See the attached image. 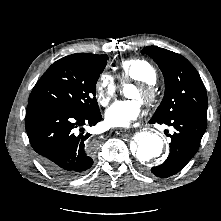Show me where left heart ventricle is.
<instances>
[{
  "instance_id": "b2bd125f",
  "label": "left heart ventricle",
  "mask_w": 221,
  "mask_h": 221,
  "mask_svg": "<svg viewBox=\"0 0 221 221\" xmlns=\"http://www.w3.org/2000/svg\"><path fill=\"white\" fill-rule=\"evenodd\" d=\"M128 95L134 98H140V94L137 88H129Z\"/></svg>"
}]
</instances>
